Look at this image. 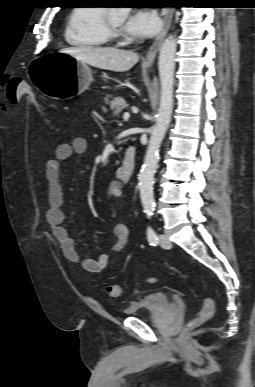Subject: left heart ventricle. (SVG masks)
<instances>
[{"instance_id":"obj_1","label":"left heart ventricle","mask_w":255,"mask_h":387,"mask_svg":"<svg viewBox=\"0 0 255 387\" xmlns=\"http://www.w3.org/2000/svg\"><path fill=\"white\" fill-rule=\"evenodd\" d=\"M110 16H111V21L113 25L120 29L123 25V21H124L123 17L118 13H111Z\"/></svg>"}]
</instances>
